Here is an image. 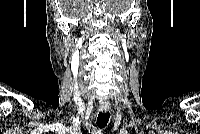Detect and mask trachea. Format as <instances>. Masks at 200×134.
<instances>
[{
  "label": "trachea",
  "instance_id": "trachea-1",
  "mask_svg": "<svg viewBox=\"0 0 200 134\" xmlns=\"http://www.w3.org/2000/svg\"><path fill=\"white\" fill-rule=\"evenodd\" d=\"M109 117H110L109 112H106V113L99 112L98 117H97V126L100 129L106 127L109 121Z\"/></svg>",
  "mask_w": 200,
  "mask_h": 134
}]
</instances>
